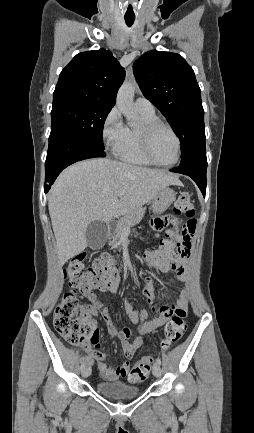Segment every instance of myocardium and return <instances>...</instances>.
<instances>
[{
  "label": "myocardium",
  "mask_w": 254,
  "mask_h": 433,
  "mask_svg": "<svg viewBox=\"0 0 254 433\" xmlns=\"http://www.w3.org/2000/svg\"><path fill=\"white\" fill-rule=\"evenodd\" d=\"M159 128H165L166 130H168L172 134V136L174 137L176 144H177L176 158L173 162L168 163V164H164V163L159 162L154 157V155L152 153L151 138H152L153 133ZM139 138H140V144H141V149H142L143 154L153 165H156L159 167L170 168V167L175 166L179 162V160L181 158V151H182L181 141H180L179 136L175 132V130L170 125H168L167 123H165L161 120L143 122L139 128Z\"/></svg>",
  "instance_id": "1"
}]
</instances>
